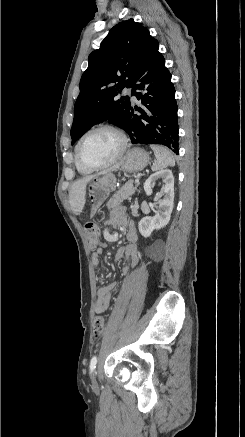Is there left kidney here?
Returning a JSON list of instances; mask_svg holds the SVG:
<instances>
[{
	"instance_id": "obj_1",
	"label": "left kidney",
	"mask_w": 245,
	"mask_h": 437,
	"mask_svg": "<svg viewBox=\"0 0 245 437\" xmlns=\"http://www.w3.org/2000/svg\"><path fill=\"white\" fill-rule=\"evenodd\" d=\"M163 180L164 197L161 199L160 195L155 197L158 200L159 208L156 215L153 217H144L139 221V232L143 237H149L156 229L159 230L165 227L171 218V213L174 207V177L172 171L169 169L160 170L152 174L144 183V190L149 196L152 194V183L156 179Z\"/></svg>"
}]
</instances>
